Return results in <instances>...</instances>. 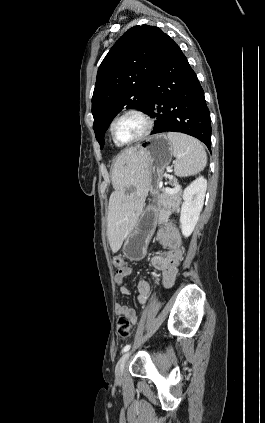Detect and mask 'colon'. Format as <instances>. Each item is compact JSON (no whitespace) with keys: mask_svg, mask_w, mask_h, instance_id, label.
<instances>
[{"mask_svg":"<svg viewBox=\"0 0 265 423\" xmlns=\"http://www.w3.org/2000/svg\"><path fill=\"white\" fill-rule=\"evenodd\" d=\"M113 265L116 270H121L124 266V259L121 256H116L113 259ZM117 334L122 338H127L131 335V325L126 316H120L116 322Z\"/></svg>","mask_w":265,"mask_h":423,"instance_id":"5ec220e1","label":"colon"}]
</instances>
